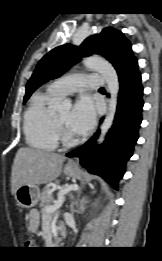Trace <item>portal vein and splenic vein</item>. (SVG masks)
I'll return each instance as SVG.
<instances>
[{
	"mask_svg": "<svg viewBox=\"0 0 162 261\" xmlns=\"http://www.w3.org/2000/svg\"><path fill=\"white\" fill-rule=\"evenodd\" d=\"M79 187L78 185L74 184V185H70V186H66L64 189H60L59 193H58V200L55 202L54 205H48L45 207V212L46 213H53L56 210H58L63 202H64V195L67 194L68 192L72 191V190H78Z\"/></svg>",
	"mask_w": 162,
	"mask_h": 261,
	"instance_id": "portal-vein-and-splenic-vein-1",
	"label": "portal vein and splenic vein"
}]
</instances>
